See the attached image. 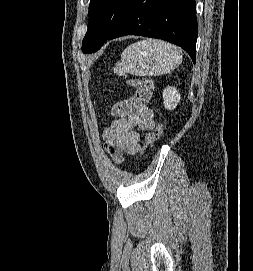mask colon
I'll return each instance as SVG.
<instances>
[{
	"mask_svg": "<svg viewBox=\"0 0 253 271\" xmlns=\"http://www.w3.org/2000/svg\"><path fill=\"white\" fill-rule=\"evenodd\" d=\"M135 84L137 85V87L141 90H145V91H152L153 89V84L151 81L147 80V79H141V80H137L135 82ZM162 133V127L160 124H158L152 131H150L147 136H146V140H145V145L146 148H151L160 138Z\"/></svg>",
	"mask_w": 253,
	"mask_h": 271,
	"instance_id": "1",
	"label": "colon"
}]
</instances>
